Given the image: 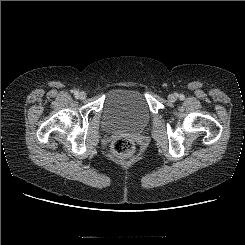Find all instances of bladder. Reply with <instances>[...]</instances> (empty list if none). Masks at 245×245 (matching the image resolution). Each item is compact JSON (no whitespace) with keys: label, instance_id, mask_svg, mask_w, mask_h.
Masks as SVG:
<instances>
[{"label":"bladder","instance_id":"obj_1","mask_svg":"<svg viewBox=\"0 0 245 245\" xmlns=\"http://www.w3.org/2000/svg\"><path fill=\"white\" fill-rule=\"evenodd\" d=\"M150 121L145 96L138 90L120 87L111 92L104 108L105 125L112 130H140Z\"/></svg>","mask_w":245,"mask_h":245}]
</instances>
